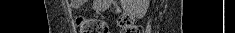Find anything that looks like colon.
Returning <instances> with one entry per match:
<instances>
[{
    "label": "colon",
    "instance_id": "5ec220e1",
    "mask_svg": "<svg viewBox=\"0 0 235 33\" xmlns=\"http://www.w3.org/2000/svg\"><path fill=\"white\" fill-rule=\"evenodd\" d=\"M76 24L80 33H110L108 25L99 19L89 17H78ZM119 24L123 33H141L142 29L128 15H121Z\"/></svg>",
    "mask_w": 235,
    "mask_h": 33
}]
</instances>
